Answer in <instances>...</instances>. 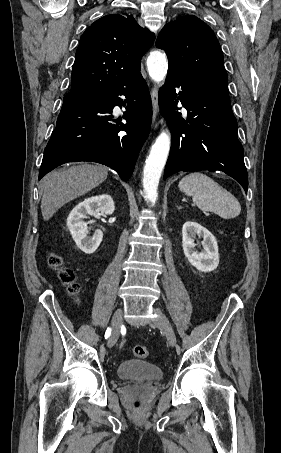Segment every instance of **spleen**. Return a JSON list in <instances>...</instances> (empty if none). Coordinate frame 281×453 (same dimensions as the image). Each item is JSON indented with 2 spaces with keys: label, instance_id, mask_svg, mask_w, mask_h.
I'll return each mask as SVG.
<instances>
[{
  "label": "spleen",
  "instance_id": "spleen-1",
  "mask_svg": "<svg viewBox=\"0 0 281 453\" xmlns=\"http://www.w3.org/2000/svg\"><path fill=\"white\" fill-rule=\"evenodd\" d=\"M178 186L187 196H192L194 204L201 210L215 212L222 218H235L241 212L239 200L203 172H190Z\"/></svg>",
  "mask_w": 281,
  "mask_h": 453
}]
</instances>
